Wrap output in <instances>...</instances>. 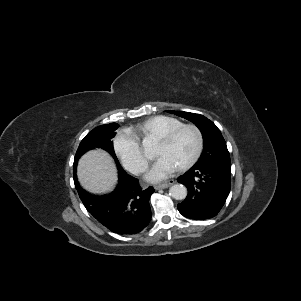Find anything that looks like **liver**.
Returning <instances> with one entry per match:
<instances>
[{
  "mask_svg": "<svg viewBox=\"0 0 301 301\" xmlns=\"http://www.w3.org/2000/svg\"><path fill=\"white\" fill-rule=\"evenodd\" d=\"M77 175L80 184L94 194L111 191L117 182L115 164L101 149L91 150L80 159Z\"/></svg>",
  "mask_w": 301,
  "mask_h": 301,
  "instance_id": "6515ba94",
  "label": "liver"
}]
</instances>
